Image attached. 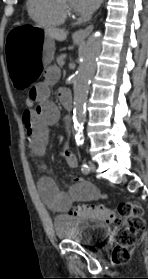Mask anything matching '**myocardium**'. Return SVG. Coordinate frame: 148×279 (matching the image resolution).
I'll list each match as a JSON object with an SVG mask.
<instances>
[{
	"label": "myocardium",
	"mask_w": 148,
	"mask_h": 279,
	"mask_svg": "<svg viewBox=\"0 0 148 279\" xmlns=\"http://www.w3.org/2000/svg\"><path fill=\"white\" fill-rule=\"evenodd\" d=\"M57 5L59 7V9L61 10V12L64 15H71L72 14V8L71 6H68L66 4L63 3V0H56Z\"/></svg>",
	"instance_id": "myocardium-1"
}]
</instances>
